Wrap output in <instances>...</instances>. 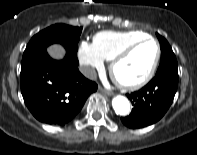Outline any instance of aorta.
I'll use <instances>...</instances> for the list:
<instances>
[{"label": "aorta", "instance_id": "aorta-1", "mask_svg": "<svg viewBox=\"0 0 197 155\" xmlns=\"http://www.w3.org/2000/svg\"><path fill=\"white\" fill-rule=\"evenodd\" d=\"M112 106L116 114L127 115L130 112V103L124 96H116L112 100Z\"/></svg>", "mask_w": 197, "mask_h": 155}]
</instances>
